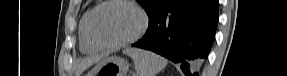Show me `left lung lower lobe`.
I'll use <instances>...</instances> for the list:
<instances>
[{
  "label": "left lung lower lobe",
  "instance_id": "obj_1",
  "mask_svg": "<svg viewBox=\"0 0 287 76\" xmlns=\"http://www.w3.org/2000/svg\"><path fill=\"white\" fill-rule=\"evenodd\" d=\"M218 0H167L149 15L141 40L132 44L175 63L186 76H199L218 23Z\"/></svg>",
  "mask_w": 287,
  "mask_h": 76
}]
</instances>
